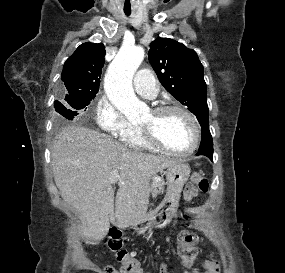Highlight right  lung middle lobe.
Segmentation results:
<instances>
[{
	"label": "right lung middle lobe",
	"instance_id": "1",
	"mask_svg": "<svg viewBox=\"0 0 285 273\" xmlns=\"http://www.w3.org/2000/svg\"><path fill=\"white\" fill-rule=\"evenodd\" d=\"M95 96L90 97H81V98H65L64 105L59 102H54V107L56 111L60 114V118L65 117L68 120H73L75 116L78 115L76 110H80L83 108H86L91 102L92 99H94Z\"/></svg>",
	"mask_w": 285,
	"mask_h": 273
}]
</instances>
